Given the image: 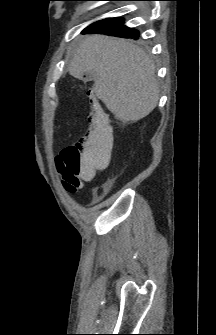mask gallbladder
Returning <instances> with one entry per match:
<instances>
[{
  "label": "gallbladder",
  "mask_w": 216,
  "mask_h": 335,
  "mask_svg": "<svg viewBox=\"0 0 216 335\" xmlns=\"http://www.w3.org/2000/svg\"><path fill=\"white\" fill-rule=\"evenodd\" d=\"M92 79H94V74L87 73V75L85 77V80L89 81V80H92Z\"/></svg>",
  "instance_id": "1"
}]
</instances>
